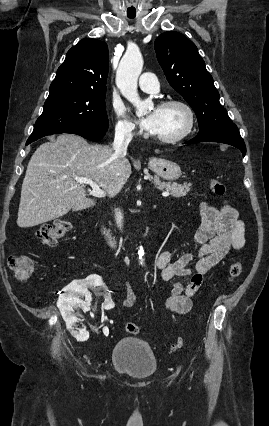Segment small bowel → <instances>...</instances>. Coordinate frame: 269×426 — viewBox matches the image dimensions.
<instances>
[{
    "instance_id": "small-bowel-1",
    "label": "small bowel",
    "mask_w": 269,
    "mask_h": 426,
    "mask_svg": "<svg viewBox=\"0 0 269 426\" xmlns=\"http://www.w3.org/2000/svg\"><path fill=\"white\" fill-rule=\"evenodd\" d=\"M200 215L201 224L195 233V242L199 246L196 262L193 263L190 251L175 257L172 251L166 250L156 257L161 279L173 282L172 295L164 301L163 307L178 314L188 313L192 309V298L200 289L203 277L230 251L240 250L246 243L245 225L231 205L215 208L202 203ZM124 288L126 297L123 306L131 308L135 306L137 296L128 281H124Z\"/></svg>"
}]
</instances>
